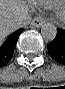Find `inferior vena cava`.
<instances>
[{"instance_id": "1", "label": "inferior vena cava", "mask_w": 65, "mask_h": 89, "mask_svg": "<svg viewBox=\"0 0 65 89\" xmlns=\"http://www.w3.org/2000/svg\"><path fill=\"white\" fill-rule=\"evenodd\" d=\"M31 19L32 17L30 15L24 14L15 20V25L17 28L27 27V25L31 22Z\"/></svg>"}]
</instances>
